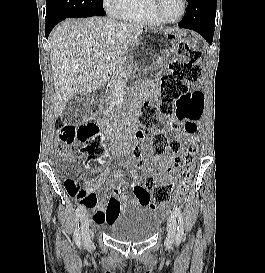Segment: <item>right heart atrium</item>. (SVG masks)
Returning <instances> with one entry per match:
<instances>
[{
	"mask_svg": "<svg viewBox=\"0 0 265 273\" xmlns=\"http://www.w3.org/2000/svg\"><path fill=\"white\" fill-rule=\"evenodd\" d=\"M124 3L125 0H103L105 10L114 16H117Z\"/></svg>",
	"mask_w": 265,
	"mask_h": 273,
	"instance_id": "right-heart-atrium-1",
	"label": "right heart atrium"
}]
</instances>
